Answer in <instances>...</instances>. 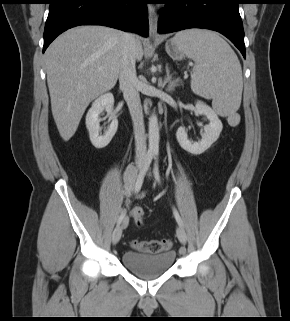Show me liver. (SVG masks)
<instances>
[{"label":"liver","instance_id":"liver-1","mask_svg":"<svg viewBox=\"0 0 290 321\" xmlns=\"http://www.w3.org/2000/svg\"><path fill=\"white\" fill-rule=\"evenodd\" d=\"M123 35L110 27L78 26L58 36L47 48L52 115L64 141L75 134L89 103L115 86L121 69ZM142 57V43L136 38V59Z\"/></svg>","mask_w":290,"mask_h":321}]
</instances>
